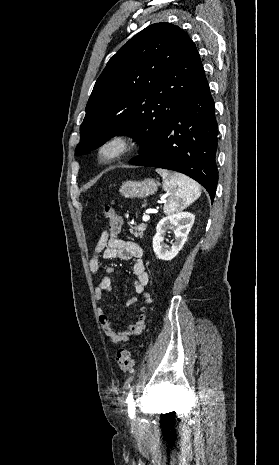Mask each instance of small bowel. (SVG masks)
<instances>
[{
    "label": "small bowel",
    "mask_w": 279,
    "mask_h": 465,
    "mask_svg": "<svg viewBox=\"0 0 279 465\" xmlns=\"http://www.w3.org/2000/svg\"><path fill=\"white\" fill-rule=\"evenodd\" d=\"M101 257L104 259L134 260L133 274L136 277L133 283L134 291L137 294L143 295L147 304L152 303V296L145 291L149 283V275L143 260V250L137 243L110 237L108 231L104 229L89 260V269L93 274L99 271ZM113 272L114 269L108 267L106 274L98 280L94 290V296L97 301H101L105 293L112 290L113 282L110 274ZM136 301L137 299L133 297L128 300L126 306H131ZM146 315V307H141L137 320L121 330L113 326L109 315L105 311L102 309L99 310V320L102 330L107 339L112 343L128 342L131 337L141 335L145 329Z\"/></svg>",
    "instance_id": "obj_1"
}]
</instances>
